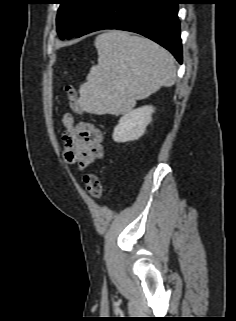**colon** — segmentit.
<instances>
[{
    "mask_svg": "<svg viewBox=\"0 0 236 321\" xmlns=\"http://www.w3.org/2000/svg\"><path fill=\"white\" fill-rule=\"evenodd\" d=\"M65 91L72 111L75 113H82L76 88L69 84L66 85ZM84 182L88 194L94 199H100L103 193L101 177L96 173H88L84 177Z\"/></svg>",
    "mask_w": 236,
    "mask_h": 321,
    "instance_id": "5ec220e1",
    "label": "colon"
}]
</instances>
